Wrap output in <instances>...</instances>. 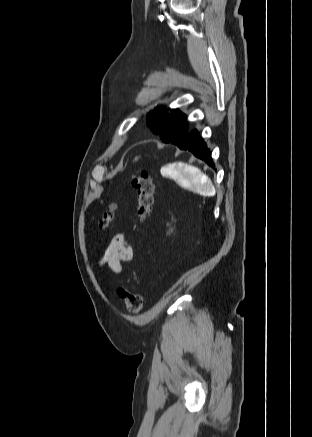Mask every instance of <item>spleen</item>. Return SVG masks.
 I'll use <instances>...</instances> for the list:
<instances>
[{"mask_svg":"<svg viewBox=\"0 0 312 437\" xmlns=\"http://www.w3.org/2000/svg\"><path fill=\"white\" fill-rule=\"evenodd\" d=\"M165 170L166 174L176 177L180 183L187 185L192 191L205 196H213L216 192L210 178L195 166L178 163L176 168L172 164Z\"/></svg>","mask_w":312,"mask_h":437,"instance_id":"obj_1","label":"spleen"}]
</instances>
